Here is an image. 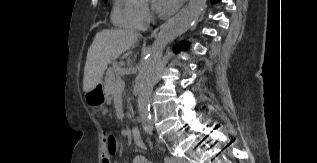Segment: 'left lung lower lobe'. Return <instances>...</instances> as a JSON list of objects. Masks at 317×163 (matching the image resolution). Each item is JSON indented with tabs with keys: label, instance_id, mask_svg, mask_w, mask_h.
<instances>
[{
	"label": "left lung lower lobe",
	"instance_id": "left-lung-lower-lobe-1",
	"mask_svg": "<svg viewBox=\"0 0 317 163\" xmlns=\"http://www.w3.org/2000/svg\"><path fill=\"white\" fill-rule=\"evenodd\" d=\"M219 0H212V2H217ZM179 48H182V49H185V45H179L175 48V50L179 49Z\"/></svg>",
	"mask_w": 317,
	"mask_h": 163
}]
</instances>
